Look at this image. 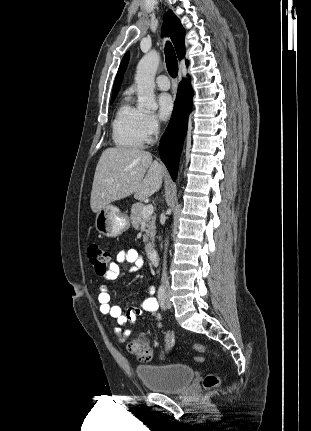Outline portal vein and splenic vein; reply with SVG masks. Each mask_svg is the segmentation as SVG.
I'll return each instance as SVG.
<instances>
[{
    "label": "portal vein and splenic vein",
    "mask_w": 311,
    "mask_h": 431,
    "mask_svg": "<svg viewBox=\"0 0 311 431\" xmlns=\"http://www.w3.org/2000/svg\"><path fill=\"white\" fill-rule=\"evenodd\" d=\"M153 212H154V208L153 206H151V204H148V206H144L142 210L143 217L152 216Z\"/></svg>",
    "instance_id": "18ae733b"
}]
</instances>
